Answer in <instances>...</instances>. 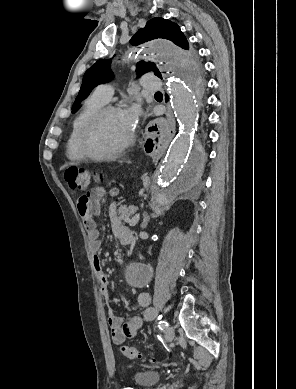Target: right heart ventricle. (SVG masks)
I'll list each match as a JSON object with an SVG mask.
<instances>
[{
    "mask_svg": "<svg viewBox=\"0 0 296 389\" xmlns=\"http://www.w3.org/2000/svg\"><path fill=\"white\" fill-rule=\"evenodd\" d=\"M105 104L106 102L102 101L94 94L85 101L82 110L73 122L71 132L67 139L66 155L70 160L82 161L84 159L85 156L80 149V136L82 130L91 116L104 107Z\"/></svg>",
    "mask_w": 296,
    "mask_h": 389,
    "instance_id": "right-heart-ventricle-1",
    "label": "right heart ventricle"
}]
</instances>
